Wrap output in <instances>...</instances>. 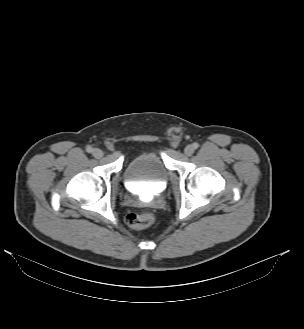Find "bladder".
Instances as JSON below:
<instances>
[{
  "mask_svg": "<svg viewBox=\"0 0 304 329\" xmlns=\"http://www.w3.org/2000/svg\"><path fill=\"white\" fill-rule=\"evenodd\" d=\"M123 176L128 185L149 183L164 186L168 180V170L162 157L149 151L132 157L124 166Z\"/></svg>",
  "mask_w": 304,
  "mask_h": 329,
  "instance_id": "obj_1",
  "label": "bladder"
}]
</instances>
